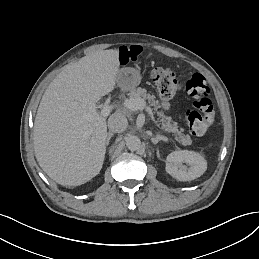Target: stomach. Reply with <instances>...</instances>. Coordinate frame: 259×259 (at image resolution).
<instances>
[{"label":"stomach","instance_id":"stomach-1","mask_svg":"<svg viewBox=\"0 0 259 259\" xmlns=\"http://www.w3.org/2000/svg\"><path fill=\"white\" fill-rule=\"evenodd\" d=\"M139 72L132 67L124 68L119 72L117 77V83L123 90H131L140 83Z\"/></svg>","mask_w":259,"mask_h":259}]
</instances>
